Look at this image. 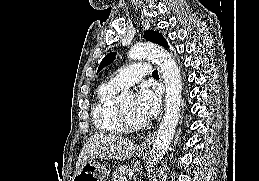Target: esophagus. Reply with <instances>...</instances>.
<instances>
[{
	"label": "esophagus",
	"mask_w": 259,
	"mask_h": 181,
	"mask_svg": "<svg viewBox=\"0 0 259 181\" xmlns=\"http://www.w3.org/2000/svg\"><path fill=\"white\" fill-rule=\"evenodd\" d=\"M152 139H153V135H152V136H149L145 142H143L142 144H140L139 148H140L141 150H146V149L149 147V145L151 144Z\"/></svg>",
	"instance_id": "obj_1"
}]
</instances>
